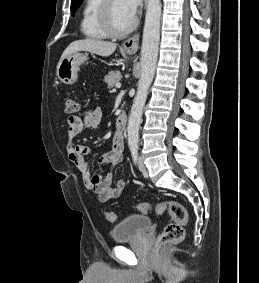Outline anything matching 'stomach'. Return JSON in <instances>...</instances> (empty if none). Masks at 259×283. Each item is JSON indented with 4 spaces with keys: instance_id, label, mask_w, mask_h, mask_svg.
Wrapping results in <instances>:
<instances>
[{
    "instance_id": "0dacf381",
    "label": "stomach",
    "mask_w": 259,
    "mask_h": 283,
    "mask_svg": "<svg viewBox=\"0 0 259 283\" xmlns=\"http://www.w3.org/2000/svg\"><path fill=\"white\" fill-rule=\"evenodd\" d=\"M127 53L131 54V52ZM87 59V53L77 51L60 60L56 71L58 79L64 84L75 83L78 79L79 67Z\"/></svg>"
}]
</instances>
